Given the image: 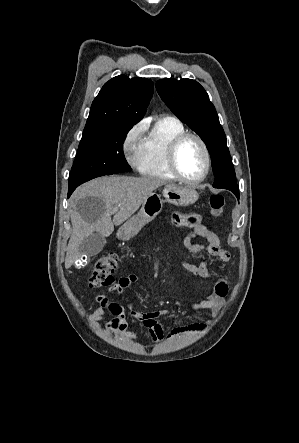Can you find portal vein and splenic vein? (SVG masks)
Segmentation results:
<instances>
[{
    "instance_id": "1",
    "label": "portal vein and splenic vein",
    "mask_w": 299,
    "mask_h": 443,
    "mask_svg": "<svg viewBox=\"0 0 299 443\" xmlns=\"http://www.w3.org/2000/svg\"><path fill=\"white\" fill-rule=\"evenodd\" d=\"M117 210H118L117 208H114L111 213H115L117 212Z\"/></svg>"
}]
</instances>
